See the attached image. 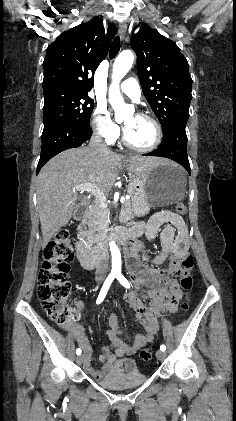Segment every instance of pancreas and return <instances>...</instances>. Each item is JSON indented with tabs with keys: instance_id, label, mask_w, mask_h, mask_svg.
I'll return each mask as SVG.
<instances>
[{
	"instance_id": "pancreas-1",
	"label": "pancreas",
	"mask_w": 236,
	"mask_h": 421,
	"mask_svg": "<svg viewBox=\"0 0 236 421\" xmlns=\"http://www.w3.org/2000/svg\"><path fill=\"white\" fill-rule=\"evenodd\" d=\"M133 219L131 200L126 198L121 204L119 221L125 223L127 227H132L134 225ZM109 223L108 208H104L99 202L92 204L84 221L79 225L80 235L87 243H90L91 251H98L102 247V243L107 239Z\"/></svg>"
}]
</instances>
